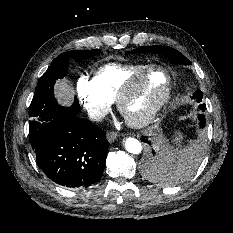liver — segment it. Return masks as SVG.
<instances>
[{"label": "liver", "mask_w": 233, "mask_h": 233, "mask_svg": "<svg viewBox=\"0 0 233 233\" xmlns=\"http://www.w3.org/2000/svg\"><path fill=\"white\" fill-rule=\"evenodd\" d=\"M54 89L55 97L61 105L68 106L72 103L74 90L68 79L57 81Z\"/></svg>", "instance_id": "obj_1"}]
</instances>
